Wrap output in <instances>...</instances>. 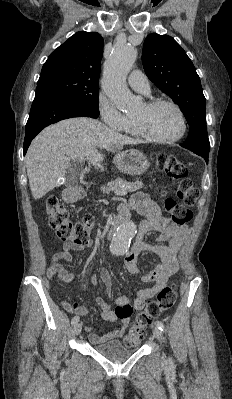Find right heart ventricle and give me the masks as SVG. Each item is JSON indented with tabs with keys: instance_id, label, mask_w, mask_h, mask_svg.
Here are the masks:
<instances>
[{
	"instance_id": "e07e8e85",
	"label": "right heart ventricle",
	"mask_w": 232,
	"mask_h": 399,
	"mask_svg": "<svg viewBox=\"0 0 232 399\" xmlns=\"http://www.w3.org/2000/svg\"><path fill=\"white\" fill-rule=\"evenodd\" d=\"M121 131L123 134L128 135L130 137H134V138H141L133 124V121L128 119L127 123L119 130Z\"/></svg>"
}]
</instances>
